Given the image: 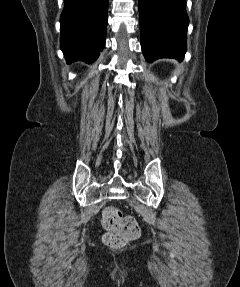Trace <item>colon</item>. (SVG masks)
Masks as SVG:
<instances>
[{
    "label": "colon",
    "mask_w": 240,
    "mask_h": 287,
    "mask_svg": "<svg viewBox=\"0 0 240 287\" xmlns=\"http://www.w3.org/2000/svg\"><path fill=\"white\" fill-rule=\"evenodd\" d=\"M102 225L106 230L103 242L110 248L119 249L140 236V228L131 216H124L113 206L106 207L102 214Z\"/></svg>",
    "instance_id": "5ec220e1"
}]
</instances>
